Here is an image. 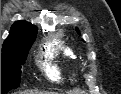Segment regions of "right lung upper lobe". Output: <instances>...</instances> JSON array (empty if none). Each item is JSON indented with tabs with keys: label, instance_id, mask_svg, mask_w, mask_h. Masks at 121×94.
<instances>
[{
	"label": "right lung upper lobe",
	"instance_id": "obj_1",
	"mask_svg": "<svg viewBox=\"0 0 121 94\" xmlns=\"http://www.w3.org/2000/svg\"><path fill=\"white\" fill-rule=\"evenodd\" d=\"M35 33H37V28L34 25L26 21H16L12 25L10 35L5 40L4 45L20 41Z\"/></svg>",
	"mask_w": 121,
	"mask_h": 94
}]
</instances>
